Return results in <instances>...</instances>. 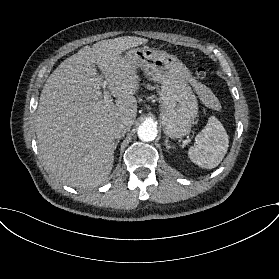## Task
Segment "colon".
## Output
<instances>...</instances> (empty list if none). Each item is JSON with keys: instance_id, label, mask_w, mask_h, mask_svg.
<instances>
[{"instance_id": "5ec220e1", "label": "colon", "mask_w": 279, "mask_h": 279, "mask_svg": "<svg viewBox=\"0 0 279 279\" xmlns=\"http://www.w3.org/2000/svg\"><path fill=\"white\" fill-rule=\"evenodd\" d=\"M207 72L206 69L202 66H198L196 68V76L198 79H204L206 76Z\"/></svg>"}]
</instances>
